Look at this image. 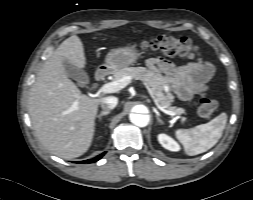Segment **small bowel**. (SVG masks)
Masks as SVG:
<instances>
[{"mask_svg": "<svg viewBox=\"0 0 253 200\" xmlns=\"http://www.w3.org/2000/svg\"><path fill=\"white\" fill-rule=\"evenodd\" d=\"M146 63L151 70L164 72L172 80L177 94L183 100H189L195 94L207 90L213 75L212 65L201 59L187 63L179 69L160 58H150Z\"/></svg>", "mask_w": 253, "mask_h": 200, "instance_id": "c3829d8e", "label": "small bowel"}]
</instances>
